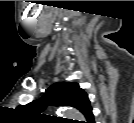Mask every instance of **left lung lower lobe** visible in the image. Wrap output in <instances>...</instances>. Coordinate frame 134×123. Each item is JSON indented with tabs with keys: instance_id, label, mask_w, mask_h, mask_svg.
Segmentation results:
<instances>
[{
	"instance_id": "obj_1",
	"label": "left lung lower lobe",
	"mask_w": 134,
	"mask_h": 123,
	"mask_svg": "<svg viewBox=\"0 0 134 123\" xmlns=\"http://www.w3.org/2000/svg\"><path fill=\"white\" fill-rule=\"evenodd\" d=\"M91 123H94V119H93V121H91Z\"/></svg>"
}]
</instances>
